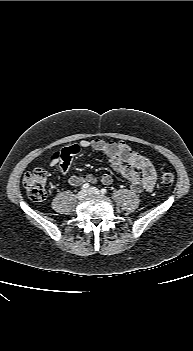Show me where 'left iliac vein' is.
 <instances>
[{
	"instance_id": "4c4485c4",
	"label": "left iliac vein",
	"mask_w": 193,
	"mask_h": 351,
	"mask_svg": "<svg viewBox=\"0 0 193 351\" xmlns=\"http://www.w3.org/2000/svg\"><path fill=\"white\" fill-rule=\"evenodd\" d=\"M88 193L89 194L98 195V194H100V190L98 188H96V187H90L88 189Z\"/></svg>"
}]
</instances>
